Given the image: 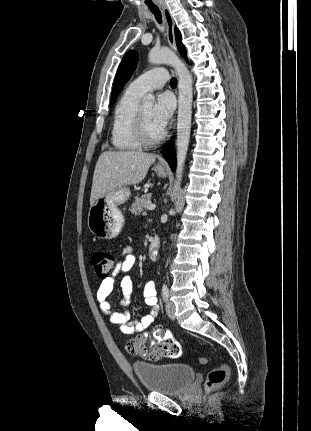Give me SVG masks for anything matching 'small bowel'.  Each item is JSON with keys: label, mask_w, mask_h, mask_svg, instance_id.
I'll list each match as a JSON object with an SVG mask.
<instances>
[{"label": "small bowel", "mask_w": 311, "mask_h": 431, "mask_svg": "<svg viewBox=\"0 0 311 431\" xmlns=\"http://www.w3.org/2000/svg\"><path fill=\"white\" fill-rule=\"evenodd\" d=\"M135 255L131 249H126L121 255L119 262L110 276L105 278L97 291V300L101 311L110 317L112 323L117 324L124 334H133L134 332H143L151 326L158 317L159 306L157 303L156 287L154 281L146 282L143 289L144 301L150 311L140 319L130 320V314L124 310H113L109 301V297L113 291L116 280L121 278V290L123 298L120 302L121 306L128 304L132 291L133 283L131 277L126 273L129 272L135 264ZM153 338L161 339L165 337H172L170 333L163 334L162 329L156 327L153 330ZM142 336L148 337V334Z\"/></svg>", "instance_id": "obj_1"}]
</instances>
